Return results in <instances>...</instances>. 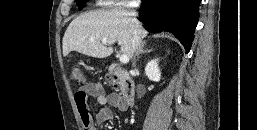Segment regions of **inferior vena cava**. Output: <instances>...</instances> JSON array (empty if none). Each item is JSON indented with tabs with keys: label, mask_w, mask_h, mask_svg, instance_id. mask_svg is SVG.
I'll return each mask as SVG.
<instances>
[{
	"label": "inferior vena cava",
	"mask_w": 257,
	"mask_h": 130,
	"mask_svg": "<svg viewBox=\"0 0 257 130\" xmlns=\"http://www.w3.org/2000/svg\"><path fill=\"white\" fill-rule=\"evenodd\" d=\"M132 16L134 15L133 13H131ZM141 45V39L138 33V30L136 27L133 28V39H132V56H134V54L138 52V49Z\"/></svg>",
	"instance_id": "inferior-vena-cava-1"
}]
</instances>
